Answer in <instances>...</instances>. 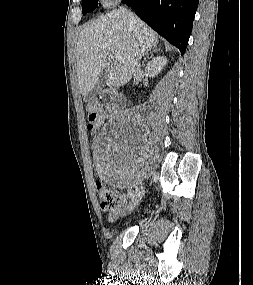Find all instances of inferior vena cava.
Here are the masks:
<instances>
[{"label": "inferior vena cava", "mask_w": 253, "mask_h": 285, "mask_svg": "<svg viewBox=\"0 0 253 285\" xmlns=\"http://www.w3.org/2000/svg\"><path fill=\"white\" fill-rule=\"evenodd\" d=\"M128 14H129V20H130L131 25H135V23H136L135 16H134L131 12H129V11H128ZM140 59H141V58H140ZM140 59H139V60H140ZM139 60H138V62L135 64L134 73H135V72H138V71L140 70L141 65H140Z\"/></svg>", "instance_id": "602c4592"}]
</instances>
